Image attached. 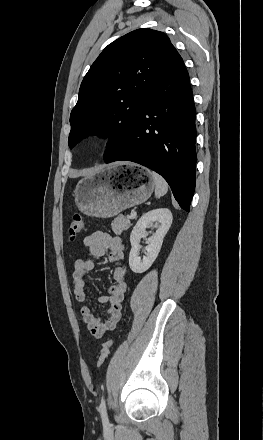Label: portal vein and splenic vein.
I'll list each match as a JSON object with an SVG mask.
<instances>
[{
  "label": "portal vein and splenic vein",
  "instance_id": "portal-vein-and-splenic-vein-1",
  "mask_svg": "<svg viewBox=\"0 0 263 440\" xmlns=\"http://www.w3.org/2000/svg\"><path fill=\"white\" fill-rule=\"evenodd\" d=\"M135 217H136V212L135 211H132L130 213V215L128 216L129 219H134Z\"/></svg>",
  "mask_w": 263,
  "mask_h": 440
}]
</instances>
